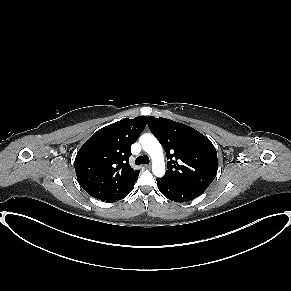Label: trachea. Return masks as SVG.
<instances>
[{
	"label": "trachea",
	"instance_id": "obj_1",
	"mask_svg": "<svg viewBox=\"0 0 291 291\" xmlns=\"http://www.w3.org/2000/svg\"><path fill=\"white\" fill-rule=\"evenodd\" d=\"M149 162H150L149 157L146 156V155L139 156V157H137L136 160H135V163H136L137 165H139V164H148Z\"/></svg>",
	"mask_w": 291,
	"mask_h": 291
}]
</instances>
